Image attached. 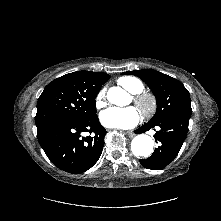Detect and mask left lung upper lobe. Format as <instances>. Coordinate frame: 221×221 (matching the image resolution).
<instances>
[{
	"instance_id": "left-lung-upper-lobe-1",
	"label": "left lung upper lobe",
	"mask_w": 221,
	"mask_h": 221,
	"mask_svg": "<svg viewBox=\"0 0 221 221\" xmlns=\"http://www.w3.org/2000/svg\"><path fill=\"white\" fill-rule=\"evenodd\" d=\"M123 74L141 78L155 95L157 111L149 124H156L172 117H191L190 94L177 79L153 69L128 71Z\"/></svg>"
}]
</instances>
